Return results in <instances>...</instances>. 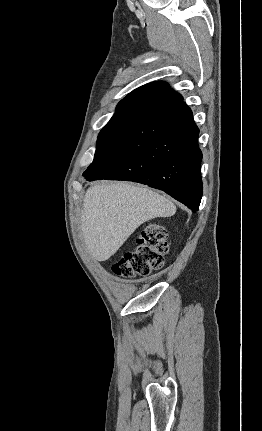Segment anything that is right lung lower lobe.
Returning a JSON list of instances; mask_svg holds the SVG:
<instances>
[{"mask_svg":"<svg viewBox=\"0 0 262 431\" xmlns=\"http://www.w3.org/2000/svg\"><path fill=\"white\" fill-rule=\"evenodd\" d=\"M198 135L192 111L178 104L132 125L83 176L146 184L195 212L203 192Z\"/></svg>","mask_w":262,"mask_h":431,"instance_id":"obj_1","label":"right lung lower lobe"}]
</instances>
